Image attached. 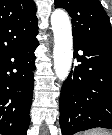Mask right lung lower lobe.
<instances>
[{"instance_id": "1", "label": "right lung lower lobe", "mask_w": 112, "mask_h": 135, "mask_svg": "<svg viewBox=\"0 0 112 135\" xmlns=\"http://www.w3.org/2000/svg\"><path fill=\"white\" fill-rule=\"evenodd\" d=\"M37 35V34H36ZM36 35L0 55V134L26 135L34 88Z\"/></svg>"}]
</instances>
